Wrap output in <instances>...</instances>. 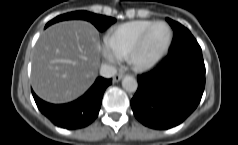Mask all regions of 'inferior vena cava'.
<instances>
[{
	"mask_svg": "<svg viewBox=\"0 0 238 145\" xmlns=\"http://www.w3.org/2000/svg\"><path fill=\"white\" fill-rule=\"evenodd\" d=\"M116 73H117V70L112 65L104 64L100 68V75L105 78H111L115 76Z\"/></svg>",
	"mask_w": 238,
	"mask_h": 145,
	"instance_id": "1",
	"label": "inferior vena cava"
}]
</instances>
